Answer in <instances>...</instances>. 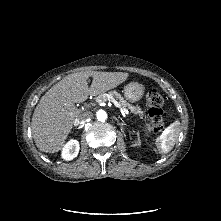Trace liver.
Returning <instances> with one entry per match:
<instances>
[{
	"label": "liver",
	"instance_id": "liver-1",
	"mask_svg": "<svg viewBox=\"0 0 221 221\" xmlns=\"http://www.w3.org/2000/svg\"><path fill=\"white\" fill-rule=\"evenodd\" d=\"M126 72H77L63 78L48 90L36 106L31 130L37 148L56 153L64 146L80 115L76 103L84 102L89 95L96 96L123 83ZM93 77L90 87L87 79Z\"/></svg>",
	"mask_w": 221,
	"mask_h": 221
}]
</instances>
